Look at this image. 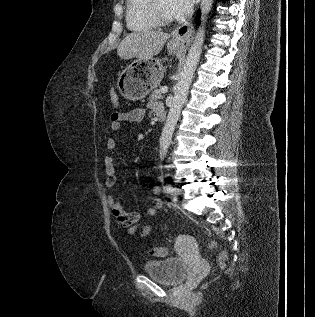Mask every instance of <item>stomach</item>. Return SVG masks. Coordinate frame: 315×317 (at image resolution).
I'll use <instances>...</instances> for the list:
<instances>
[{
    "mask_svg": "<svg viewBox=\"0 0 315 317\" xmlns=\"http://www.w3.org/2000/svg\"><path fill=\"white\" fill-rule=\"evenodd\" d=\"M183 43L172 39L167 49L169 54L179 53ZM164 69L159 59H136L118 75L117 88L127 100L138 101L157 87Z\"/></svg>",
    "mask_w": 315,
    "mask_h": 317,
    "instance_id": "stomach-1",
    "label": "stomach"
}]
</instances>
